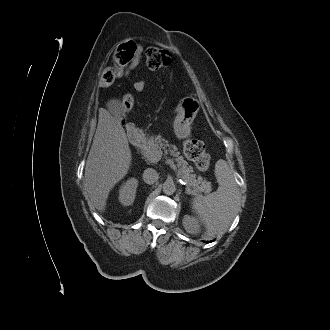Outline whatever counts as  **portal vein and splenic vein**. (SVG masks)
<instances>
[{
	"mask_svg": "<svg viewBox=\"0 0 330 330\" xmlns=\"http://www.w3.org/2000/svg\"><path fill=\"white\" fill-rule=\"evenodd\" d=\"M161 155H159V154H155V155H153V157H152V162H158L160 159H161ZM166 162H167V164L168 165H170V167L176 172L177 171V167H176V165L174 164V162H173V160L172 159H167L166 160Z\"/></svg>",
	"mask_w": 330,
	"mask_h": 330,
	"instance_id": "portal-vein-and-splenic-vein-1",
	"label": "portal vein and splenic vein"
}]
</instances>
